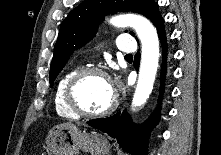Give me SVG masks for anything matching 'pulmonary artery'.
<instances>
[{
  "instance_id": "1",
  "label": "pulmonary artery",
  "mask_w": 221,
  "mask_h": 155,
  "mask_svg": "<svg viewBox=\"0 0 221 155\" xmlns=\"http://www.w3.org/2000/svg\"><path fill=\"white\" fill-rule=\"evenodd\" d=\"M117 48L123 53H132L136 49L134 39L128 34L120 35L116 40Z\"/></svg>"
}]
</instances>
